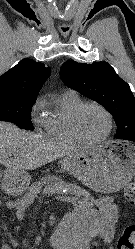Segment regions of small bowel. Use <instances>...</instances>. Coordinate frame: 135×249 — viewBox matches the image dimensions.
I'll use <instances>...</instances> for the list:
<instances>
[{
  "label": "small bowel",
  "mask_w": 135,
  "mask_h": 249,
  "mask_svg": "<svg viewBox=\"0 0 135 249\" xmlns=\"http://www.w3.org/2000/svg\"><path fill=\"white\" fill-rule=\"evenodd\" d=\"M85 205V204H84ZM98 212H90L89 233L90 239L101 240L106 244L112 242L114 236V226L119 218V211L113 199L109 196L100 197L97 200ZM6 208L16 211V218L21 221L25 217L26 207L23 202L9 200ZM2 249H10L9 245H3Z\"/></svg>",
  "instance_id": "1"
}]
</instances>
